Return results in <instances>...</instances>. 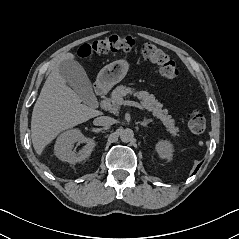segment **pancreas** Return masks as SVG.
Here are the masks:
<instances>
[{
    "mask_svg": "<svg viewBox=\"0 0 239 239\" xmlns=\"http://www.w3.org/2000/svg\"><path fill=\"white\" fill-rule=\"evenodd\" d=\"M129 94L137 97L145 109L151 111L155 117L159 118L172 136H179V128L175 126V120L168 115L167 109H162L163 105L149 92L135 91L133 88L124 85L117 86L113 90L111 97L104 101L105 108L112 113H117L119 110V99Z\"/></svg>",
    "mask_w": 239,
    "mask_h": 239,
    "instance_id": "obj_1",
    "label": "pancreas"
}]
</instances>
